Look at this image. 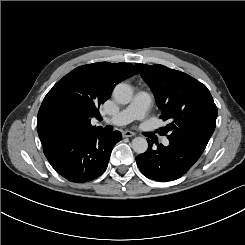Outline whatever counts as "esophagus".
<instances>
[{"label": "esophagus", "instance_id": "34e87169", "mask_svg": "<svg viewBox=\"0 0 245 245\" xmlns=\"http://www.w3.org/2000/svg\"><path fill=\"white\" fill-rule=\"evenodd\" d=\"M122 136H123V137H132V136H135V133L132 132V131H124V132L122 133Z\"/></svg>", "mask_w": 245, "mask_h": 245}]
</instances>
